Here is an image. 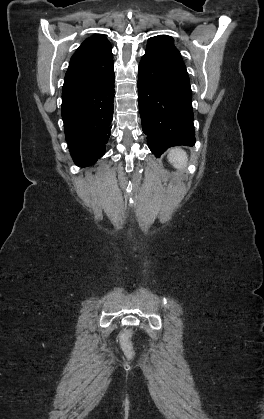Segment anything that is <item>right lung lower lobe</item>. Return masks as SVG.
Returning a JSON list of instances; mask_svg holds the SVG:
<instances>
[{"instance_id":"obj_1","label":"right lung lower lobe","mask_w":264,"mask_h":419,"mask_svg":"<svg viewBox=\"0 0 264 419\" xmlns=\"http://www.w3.org/2000/svg\"><path fill=\"white\" fill-rule=\"evenodd\" d=\"M114 71L96 84L63 89L62 118L76 165H93L105 153L113 119Z\"/></svg>"}]
</instances>
